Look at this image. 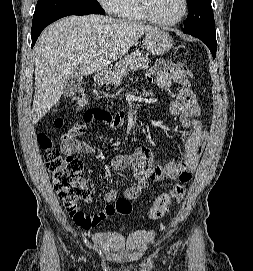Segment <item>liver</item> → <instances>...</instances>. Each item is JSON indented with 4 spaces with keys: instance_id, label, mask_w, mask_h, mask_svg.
<instances>
[{
    "instance_id": "1",
    "label": "liver",
    "mask_w": 253,
    "mask_h": 271,
    "mask_svg": "<svg viewBox=\"0 0 253 271\" xmlns=\"http://www.w3.org/2000/svg\"><path fill=\"white\" fill-rule=\"evenodd\" d=\"M156 27L103 15L65 17L49 25L35 47V93L32 122L59 101L75 74L102 72L124 56L139 38ZM105 49L98 53L99 49Z\"/></svg>"
}]
</instances>
